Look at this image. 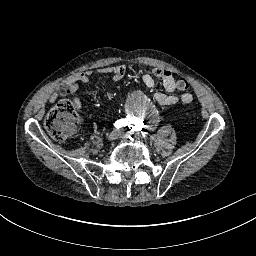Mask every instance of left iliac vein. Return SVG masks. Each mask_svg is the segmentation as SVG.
<instances>
[{
	"mask_svg": "<svg viewBox=\"0 0 256 256\" xmlns=\"http://www.w3.org/2000/svg\"><path fill=\"white\" fill-rule=\"evenodd\" d=\"M119 135H120L121 137H126V136H127V133H124V132L120 131V132H119Z\"/></svg>",
	"mask_w": 256,
	"mask_h": 256,
	"instance_id": "left-iliac-vein-1",
	"label": "left iliac vein"
}]
</instances>
